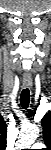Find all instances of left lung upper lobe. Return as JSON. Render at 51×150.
Wrapping results in <instances>:
<instances>
[{
    "label": "left lung upper lobe",
    "instance_id": "obj_1",
    "mask_svg": "<svg viewBox=\"0 0 51 150\" xmlns=\"http://www.w3.org/2000/svg\"><path fill=\"white\" fill-rule=\"evenodd\" d=\"M43 139L45 144L51 146V112L45 114L42 118Z\"/></svg>",
    "mask_w": 51,
    "mask_h": 150
}]
</instances>
